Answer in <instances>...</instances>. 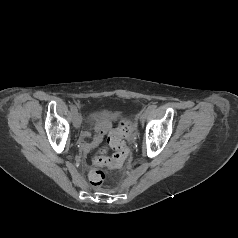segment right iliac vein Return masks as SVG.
Wrapping results in <instances>:
<instances>
[{
  "label": "right iliac vein",
  "instance_id": "1",
  "mask_svg": "<svg viewBox=\"0 0 238 238\" xmlns=\"http://www.w3.org/2000/svg\"><path fill=\"white\" fill-rule=\"evenodd\" d=\"M73 125L75 128H79L81 125V117L78 113L73 114Z\"/></svg>",
  "mask_w": 238,
  "mask_h": 238
}]
</instances>
